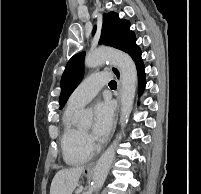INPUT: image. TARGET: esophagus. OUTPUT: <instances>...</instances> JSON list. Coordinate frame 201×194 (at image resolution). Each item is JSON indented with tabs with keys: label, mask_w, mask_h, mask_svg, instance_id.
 Masks as SVG:
<instances>
[{
	"label": "esophagus",
	"mask_w": 201,
	"mask_h": 194,
	"mask_svg": "<svg viewBox=\"0 0 201 194\" xmlns=\"http://www.w3.org/2000/svg\"><path fill=\"white\" fill-rule=\"evenodd\" d=\"M110 69L113 72V74L115 75V77L117 79V83H118V88H117V93H116V98H117V101H118V105H117V109H116V113H115V117H114L112 131H111L110 138H109L108 142L110 141V139L113 136V134L115 132V129H116L118 116H119V110H120V97H121V89H122L121 88V81H122L121 71L116 66H111ZM94 165H95V162H91L87 166V169H93Z\"/></svg>",
	"instance_id": "esophagus-1"
}]
</instances>
